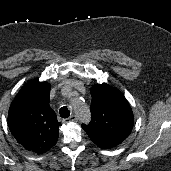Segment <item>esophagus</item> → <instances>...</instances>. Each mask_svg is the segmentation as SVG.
Here are the masks:
<instances>
[{"label":"esophagus","instance_id":"1","mask_svg":"<svg viewBox=\"0 0 171 171\" xmlns=\"http://www.w3.org/2000/svg\"><path fill=\"white\" fill-rule=\"evenodd\" d=\"M77 120V116L76 115H71L69 118H66L63 120L64 123H68V122H74Z\"/></svg>","mask_w":171,"mask_h":171}]
</instances>
